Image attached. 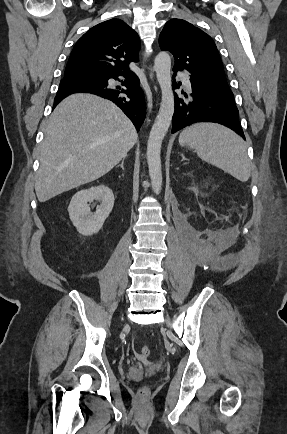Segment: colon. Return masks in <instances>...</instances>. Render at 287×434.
I'll use <instances>...</instances> for the list:
<instances>
[{
	"label": "colon",
	"mask_w": 287,
	"mask_h": 434,
	"mask_svg": "<svg viewBox=\"0 0 287 434\" xmlns=\"http://www.w3.org/2000/svg\"><path fill=\"white\" fill-rule=\"evenodd\" d=\"M150 348L148 346H142L140 348V352H139V359L141 360H146L149 358L150 356ZM149 394V390L146 387H142L139 392H138V396L140 399H145Z\"/></svg>",
	"instance_id": "5ec220e1"
}]
</instances>
